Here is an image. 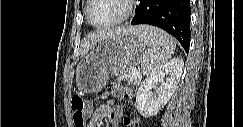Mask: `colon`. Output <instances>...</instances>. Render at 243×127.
Listing matches in <instances>:
<instances>
[{
	"mask_svg": "<svg viewBox=\"0 0 243 127\" xmlns=\"http://www.w3.org/2000/svg\"><path fill=\"white\" fill-rule=\"evenodd\" d=\"M113 88L115 96L123 97L127 100L132 99L133 95L130 88L121 86L118 83H115L113 85ZM71 110L75 127H84L90 109L82 93L74 95L72 97ZM133 123L134 120L131 118V116L127 115L124 117L123 124L125 126H131Z\"/></svg>",
	"mask_w": 243,
	"mask_h": 127,
	"instance_id": "colon-1",
	"label": "colon"
}]
</instances>
